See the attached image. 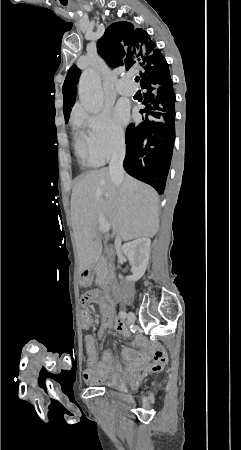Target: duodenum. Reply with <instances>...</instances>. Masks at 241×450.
I'll return each mask as SVG.
<instances>
[{"mask_svg": "<svg viewBox=\"0 0 241 450\" xmlns=\"http://www.w3.org/2000/svg\"><path fill=\"white\" fill-rule=\"evenodd\" d=\"M111 264L109 267L111 268ZM93 278V271L90 268H85L81 272V282L83 285H87L91 282ZM104 285L106 287L107 294L109 298L113 301H116L119 298V291L117 283L114 279V276L111 272L106 276L104 280Z\"/></svg>", "mask_w": 241, "mask_h": 450, "instance_id": "obj_1", "label": "duodenum"}]
</instances>
